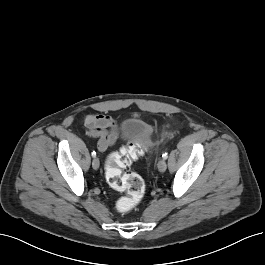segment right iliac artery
<instances>
[{
  "instance_id": "right-iliac-artery-1",
  "label": "right iliac artery",
  "mask_w": 265,
  "mask_h": 265,
  "mask_svg": "<svg viewBox=\"0 0 265 265\" xmlns=\"http://www.w3.org/2000/svg\"><path fill=\"white\" fill-rule=\"evenodd\" d=\"M91 155H92V157H96V152L93 151V152L91 153Z\"/></svg>"
}]
</instances>
